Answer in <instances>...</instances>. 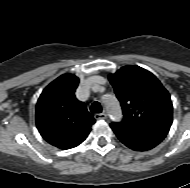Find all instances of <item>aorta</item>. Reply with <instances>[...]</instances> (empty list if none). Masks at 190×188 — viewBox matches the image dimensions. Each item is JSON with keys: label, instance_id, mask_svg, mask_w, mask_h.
I'll return each instance as SVG.
<instances>
[{"label": "aorta", "instance_id": "1", "mask_svg": "<svg viewBox=\"0 0 190 188\" xmlns=\"http://www.w3.org/2000/svg\"><path fill=\"white\" fill-rule=\"evenodd\" d=\"M102 102L106 107L109 117L112 121L118 122L122 119V111L117 98L112 94H105Z\"/></svg>", "mask_w": 190, "mask_h": 188}]
</instances>
